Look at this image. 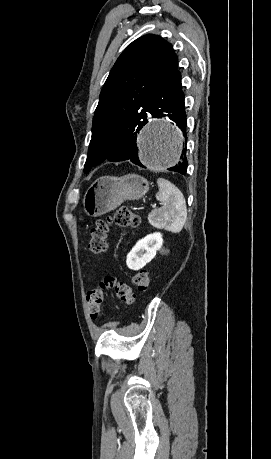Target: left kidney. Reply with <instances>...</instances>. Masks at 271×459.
<instances>
[{"label": "left kidney", "mask_w": 271, "mask_h": 459, "mask_svg": "<svg viewBox=\"0 0 271 459\" xmlns=\"http://www.w3.org/2000/svg\"><path fill=\"white\" fill-rule=\"evenodd\" d=\"M163 243L162 233H149L143 239H139L136 245L129 251L126 263L130 269H141L148 261H151L156 255L157 249H160Z\"/></svg>", "instance_id": "5707ae66"}]
</instances>
